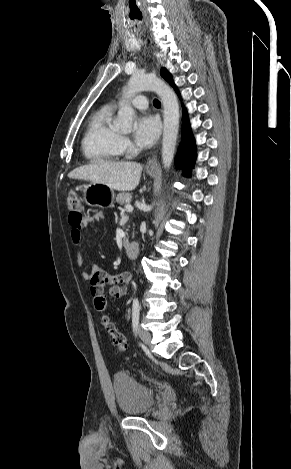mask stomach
Instances as JSON below:
<instances>
[{
  "label": "stomach",
  "mask_w": 291,
  "mask_h": 469,
  "mask_svg": "<svg viewBox=\"0 0 291 469\" xmlns=\"http://www.w3.org/2000/svg\"><path fill=\"white\" fill-rule=\"evenodd\" d=\"M150 176H155L157 170H147ZM83 196L86 204L92 207L105 208L113 204L114 190L103 183L91 182L83 188Z\"/></svg>",
  "instance_id": "1"
}]
</instances>
